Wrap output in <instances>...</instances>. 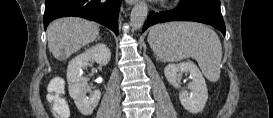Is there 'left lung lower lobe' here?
I'll use <instances>...</instances> for the list:
<instances>
[{
    "label": "left lung lower lobe",
    "instance_id": "left-lung-lower-lobe-1",
    "mask_svg": "<svg viewBox=\"0 0 273 118\" xmlns=\"http://www.w3.org/2000/svg\"><path fill=\"white\" fill-rule=\"evenodd\" d=\"M169 21H195L213 26L223 35L226 32L220 9L199 0H181L178 7L170 11H152L143 26V32L154 24Z\"/></svg>",
    "mask_w": 273,
    "mask_h": 118
}]
</instances>
